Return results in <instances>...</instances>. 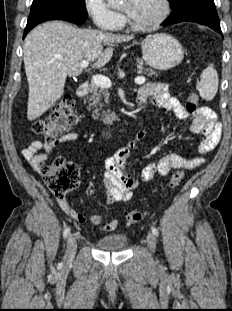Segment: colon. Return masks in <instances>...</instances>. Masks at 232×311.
<instances>
[{"label": "colon", "mask_w": 232, "mask_h": 311, "mask_svg": "<svg viewBox=\"0 0 232 311\" xmlns=\"http://www.w3.org/2000/svg\"><path fill=\"white\" fill-rule=\"evenodd\" d=\"M199 95L190 92L186 99V110L193 113L197 110ZM76 121L75 104L72 98H62L53 108L51 114L43 119L36 120L32 124V131L42 136L46 142H53L62 133L74 125ZM49 189L57 196H65L73 190L79 179L77 168L61 158H57L51 163L41 162L39 164ZM184 172L176 170L170 178V187H176L182 180ZM144 218V213L139 210L126 212L125 221L129 225L139 223Z\"/></svg>", "instance_id": "5ec220e1"}]
</instances>
